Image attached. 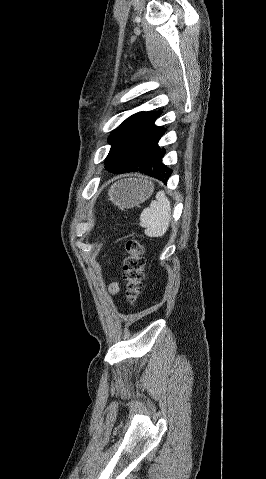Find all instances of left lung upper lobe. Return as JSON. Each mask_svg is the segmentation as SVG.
Segmentation results:
<instances>
[{"label":"left lung upper lobe","instance_id":"obj_1","mask_svg":"<svg viewBox=\"0 0 266 479\" xmlns=\"http://www.w3.org/2000/svg\"><path fill=\"white\" fill-rule=\"evenodd\" d=\"M160 114L161 111L136 113L109 136L112 146L105 161L109 172L134 168L157 156L160 151L157 143L165 132L154 124Z\"/></svg>","mask_w":266,"mask_h":479}]
</instances>
